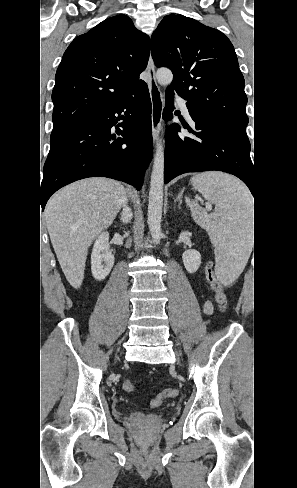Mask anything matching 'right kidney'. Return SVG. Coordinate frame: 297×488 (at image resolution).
<instances>
[{"mask_svg": "<svg viewBox=\"0 0 297 488\" xmlns=\"http://www.w3.org/2000/svg\"><path fill=\"white\" fill-rule=\"evenodd\" d=\"M114 260L109 246V233L103 232L95 241L91 254V270L94 279H105L114 265Z\"/></svg>", "mask_w": 297, "mask_h": 488, "instance_id": "ca27d5eb", "label": "right kidney"}]
</instances>
